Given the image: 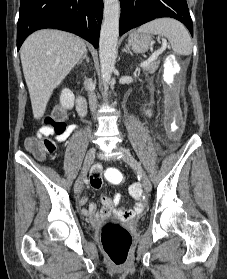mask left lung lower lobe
<instances>
[{"label": "left lung lower lobe", "instance_id": "left-lung-lower-lobe-1", "mask_svg": "<svg viewBox=\"0 0 227 279\" xmlns=\"http://www.w3.org/2000/svg\"><path fill=\"white\" fill-rule=\"evenodd\" d=\"M119 35L156 18L181 21L193 36V24L186 0H120Z\"/></svg>", "mask_w": 227, "mask_h": 279}]
</instances>
